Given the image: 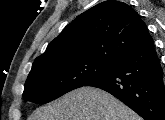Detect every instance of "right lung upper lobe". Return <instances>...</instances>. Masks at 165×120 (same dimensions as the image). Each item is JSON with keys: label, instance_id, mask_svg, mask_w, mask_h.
<instances>
[{"label": "right lung upper lobe", "instance_id": "obj_1", "mask_svg": "<svg viewBox=\"0 0 165 120\" xmlns=\"http://www.w3.org/2000/svg\"><path fill=\"white\" fill-rule=\"evenodd\" d=\"M138 13L123 2L108 0L79 15L38 56L32 67L72 58L118 63L152 41Z\"/></svg>", "mask_w": 165, "mask_h": 120}]
</instances>
